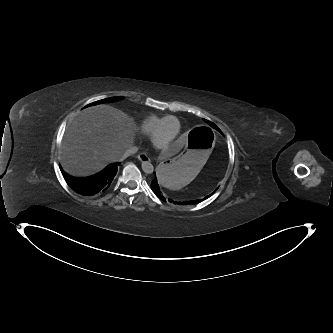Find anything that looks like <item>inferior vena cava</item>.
Listing matches in <instances>:
<instances>
[{"label": "inferior vena cava", "mask_w": 333, "mask_h": 333, "mask_svg": "<svg viewBox=\"0 0 333 333\" xmlns=\"http://www.w3.org/2000/svg\"><path fill=\"white\" fill-rule=\"evenodd\" d=\"M137 151H138V148L136 146H131L122 155L118 156L115 161H123L128 156H131V155L137 153Z\"/></svg>", "instance_id": "602c4592"}]
</instances>
